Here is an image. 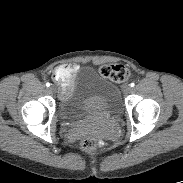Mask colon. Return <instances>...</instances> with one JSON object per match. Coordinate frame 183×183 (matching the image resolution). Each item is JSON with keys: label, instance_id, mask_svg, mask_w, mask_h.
Instances as JSON below:
<instances>
[{"label": "colon", "instance_id": "1", "mask_svg": "<svg viewBox=\"0 0 183 183\" xmlns=\"http://www.w3.org/2000/svg\"><path fill=\"white\" fill-rule=\"evenodd\" d=\"M100 74L114 82H125L130 77L128 68L123 64H104L99 69ZM72 73L69 71H57L54 75L55 81L59 84L60 88L69 84L72 81ZM97 141L91 136L85 137L81 142V148L86 153H91L95 150Z\"/></svg>", "mask_w": 183, "mask_h": 183}]
</instances>
